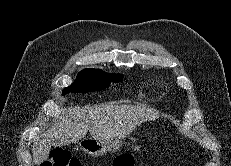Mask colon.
Returning a JSON list of instances; mask_svg holds the SVG:
<instances>
[{
    "label": "colon",
    "mask_w": 231,
    "mask_h": 166,
    "mask_svg": "<svg viewBox=\"0 0 231 166\" xmlns=\"http://www.w3.org/2000/svg\"><path fill=\"white\" fill-rule=\"evenodd\" d=\"M41 166H79V162L73 158L66 149H54L48 160ZM113 166H136V159L132 155H120L113 161Z\"/></svg>",
    "instance_id": "obj_1"
}]
</instances>
